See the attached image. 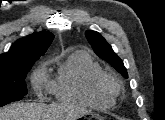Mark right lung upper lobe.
<instances>
[{"label":"right lung upper lobe","instance_id":"obj_1","mask_svg":"<svg viewBox=\"0 0 165 120\" xmlns=\"http://www.w3.org/2000/svg\"><path fill=\"white\" fill-rule=\"evenodd\" d=\"M53 38L52 33L41 31L18 39L8 52L0 55V63L38 59L46 52Z\"/></svg>","mask_w":165,"mask_h":120}]
</instances>
